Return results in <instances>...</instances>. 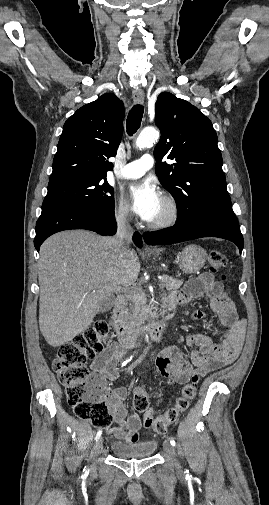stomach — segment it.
<instances>
[{
  "label": "stomach",
  "mask_w": 269,
  "mask_h": 505,
  "mask_svg": "<svg viewBox=\"0 0 269 505\" xmlns=\"http://www.w3.org/2000/svg\"><path fill=\"white\" fill-rule=\"evenodd\" d=\"M207 260L206 251L198 245H187L178 253L176 263L187 274L199 271Z\"/></svg>",
  "instance_id": "obj_1"
}]
</instances>
